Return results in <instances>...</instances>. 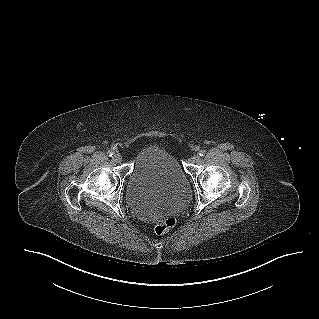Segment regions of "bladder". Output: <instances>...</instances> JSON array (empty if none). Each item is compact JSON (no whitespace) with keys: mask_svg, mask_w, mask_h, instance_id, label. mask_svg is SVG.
<instances>
[{"mask_svg":"<svg viewBox=\"0 0 319 319\" xmlns=\"http://www.w3.org/2000/svg\"><path fill=\"white\" fill-rule=\"evenodd\" d=\"M190 197V179L170 152L150 146L137 156L127 179L126 200L138 216L157 218L183 207Z\"/></svg>","mask_w":319,"mask_h":319,"instance_id":"obj_1","label":"bladder"}]
</instances>
